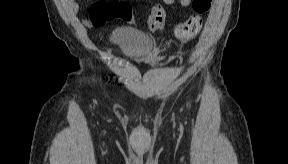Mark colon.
I'll use <instances>...</instances> for the list:
<instances>
[{
	"instance_id": "obj_1",
	"label": "colon",
	"mask_w": 288,
	"mask_h": 164,
	"mask_svg": "<svg viewBox=\"0 0 288 164\" xmlns=\"http://www.w3.org/2000/svg\"><path fill=\"white\" fill-rule=\"evenodd\" d=\"M211 5V0H194V14L190 15L183 23L176 26L175 36L180 41H190L194 39L203 27L201 13H205ZM132 11L125 1L97 0L89 11L91 23L96 27H101L114 19H130ZM168 21L166 10L161 5L153 6L148 18L147 26L151 32L160 31Z\"/></svg>"
}]
</instances>
